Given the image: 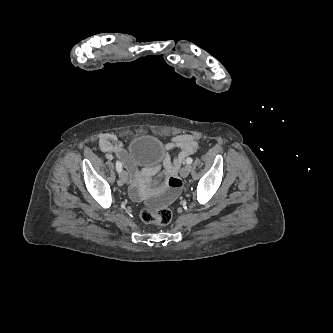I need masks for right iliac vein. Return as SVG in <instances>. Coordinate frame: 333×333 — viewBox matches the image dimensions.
Returning a JSON list of instances; mask_svg holds the SVG:
<instances>
[{
	"label": "right iliac vein",
	"instance_id": "63e3f726",
	"mask_svg": "<svg viewBox=\"0 0 333 333\" xmlns=\"http://www.w3.org/2000/svg\"><path fill=\"white\" fill-rule=\"evenodd\" d=\"M119 178L121 183H126L128 180V173L125 170L119 172Z\"/></svg>",
	"mask_w": 333,
	"mask_h": 333
}]
</instances>
